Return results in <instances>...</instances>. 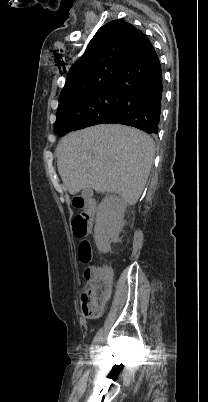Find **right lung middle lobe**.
I'll return each instance as SVG.
<instances>
[{
    "instance_id": "right-lung-middle-lobe-1",
    "label": "right lung middle lobe",
    "mask_w": 208,
    "mask_h": 402,
    "mask_svg": "<svg viewBox=\"0 0 208 402\" xmlns=\"http://www.w3.org/2000/svg\"><path fill=\"white\" fill-rule=\"evenodd\" d=\"M116 90L111 80L60 96L55 133L60 122L111 112L117 107Z\"/></svg>"
}]
</instances>
